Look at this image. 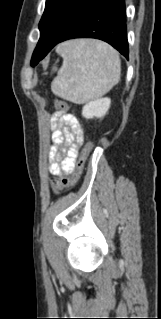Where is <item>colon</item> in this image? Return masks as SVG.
<instances>
[{"label": "colon", "instance_id": "colon-1", "mask_svg": "<svg viewBox=\"0 0 161 319\" xmlns=\"http://www.w3.org/2000/svg\"><path fill=\"white\" fill-rule=\"evenodd\" d=\"M54 70H56V69L54 68ZM56 106L62 111H68L70 109V107L67 103L61 102V101H57ZM93 145L94 144L91 141H89L85 145V147L83 148V151L79 157V160L76 164L74 171L69 176H67V177H53L50 180V185H51L52 190L62 191L64 189H67V188L73 186L78 181V179L80 178L82 171H83V166H84L86 156L89 153V151L92 149Z\"/></svg>", "mask_w": 161, "mask_h": 319}]
</instances>
